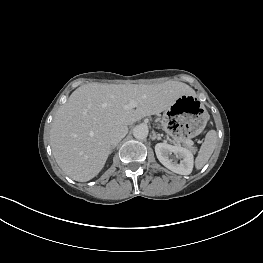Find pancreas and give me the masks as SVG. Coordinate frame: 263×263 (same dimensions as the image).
<instances>
[{
    "label": "pancreas",
    "mask_w": 263,
    "mask_h": 263,
    "mask_svg": "<svg viewBox=\"0 0 263 263\" xmlns=\"http://www.w3.org/2000/svg\"><path fill=\"white\" fill-rule=\"evenodd\" d=\"M184 146H186L187 148H189L193 152L196 151V147H194L193 145L185 144Z\"/></svg>",
    "instance_id": "pancreas-1"
}]
</instances>
